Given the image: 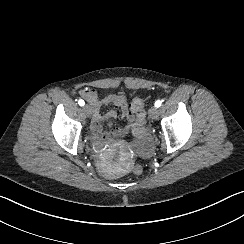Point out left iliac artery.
Segmentation results:
<instances>
[{"label": "left iliac artery", "instance_id": "left-iliac-artery-1", "mask_svg": "<svg viewBox=\"0 0 244 244\" xmlns=\"http://www.w3.org/2000/svg\"><path fill=\"white\" fill-rule=\"evenodd\" d=\"M161 104H162V101H160V100H157L156 102H155V107H160L161 106Z\"/></svg>", "mask_w": 244, "mask_h": 244}]
</instances>
